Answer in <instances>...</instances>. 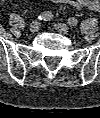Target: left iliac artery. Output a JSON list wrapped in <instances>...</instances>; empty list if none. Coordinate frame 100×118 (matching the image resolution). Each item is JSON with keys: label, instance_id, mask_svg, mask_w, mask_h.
I'll list each match as a JSON object with an SVG mask.
<instances>
[{"label": "left iliac artery", "instance_id": "obj_1", "mask_svg": "<svg viewBox=\"0 0 100 118\" xmlns=\"http://www.w3.org/2000/svg\"><path fill=\"white\" fill-rule=\"evenodd\" d=\"M77 23H78L77 19H75L73 17L68 19V24L72 27L76 26Z\"/></svg>", "mask_w": 100, "mask_h": 118}]
</instances>
